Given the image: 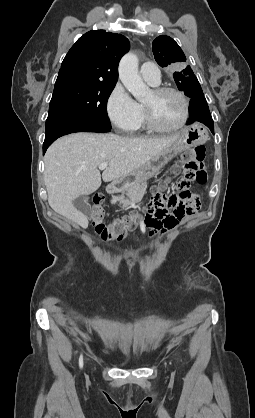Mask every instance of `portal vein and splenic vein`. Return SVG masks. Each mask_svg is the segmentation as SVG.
I'll list each match as a JSON object with an SVG mask.
<instances>
[{"label":"portal vein and splenic vein","instance_id":"18ae733b","mask_svg":"<svg viewBox=\"0 0 255 418\" xmlns=\"http://www.w3.org/2000/svg\"><path fill=\"white\" fill-rule=\"evenodd\" d=\"M106 168H107V163H102V164L99 165L100 170H104Z\"/></svg>","mask_w":255,"mask_h":418}]
</instances>
